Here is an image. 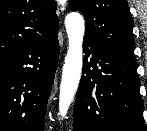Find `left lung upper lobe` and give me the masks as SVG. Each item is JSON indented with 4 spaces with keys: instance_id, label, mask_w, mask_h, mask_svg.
I'll use <instances>...</instances> for the list:
<instances>
[{
    "instance_id": "obj_1",
    "label": "left lung upper lobe",
    "mask_w": 147,
    "mask_h": 131,
    "mask_svg": "<svg viewBox=\"0 0 147 131\" xmlns=\"http://www.w3.org/2000/svg\"><path fill=\"white\" fill-rule=\"evenodd\" d=\"M86 19V41L136 62L132 17L126 0H69Z\"/></svg>"
}]
</instances>
